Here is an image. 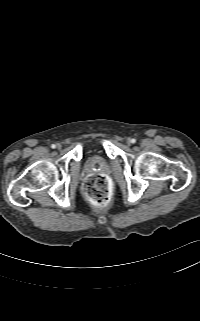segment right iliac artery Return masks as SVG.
I'll return each mask as SVG.
<instances>
[{
    "instance_id": "obj_1",
    "label": "right iliac artery",
    "mask_w": 200,
    "mask_h": 321,
    "mask_svg": "<svg viewBox=\"0 0 200 321\" xmlns=\"http://www.w3.org/2000/svg\"><path fill=\"white\" fill-rule=\"evenodd\" d=\"M51 148H52V149L56 148V145H55V144H52V145H51Z\"/></svg>"
}]
</instances>
